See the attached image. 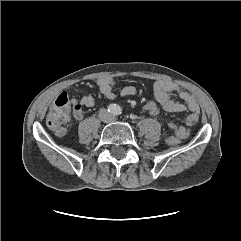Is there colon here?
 Here are the masks:
<instances>
[{
  "label": "colon",
  "mask_w": 241,
  "mask_h": 241,
  "mask_svg": "<svg viewBox=\"0 0 241 241\" xmlns=\"http://www.w3.org/2000/svg\"><path fill=\"white\" fill-rule=\"evenodd\" d=\"M81 108L82 107L79 103H73L72 101H70L66 94H60L50 107L46 118L47 126L55 133L63 134L65 127L70 120L71 112L75 114L76 112L80 111ZM142 109L154 119L159 121L164 120L163 115L156 102L146 101L143 104ZM198 120L199 118L197 115L190 114L186 118L185 123L188 126H193L197 124ZM167 125L169 129L173 132V135L168 138V143L170 145L179 144L181 140L185 139L189 134L188 129L179 126L173 122H167Z\"/></svg>",
  "instance_id": "colon-1"
}]
</instances>
